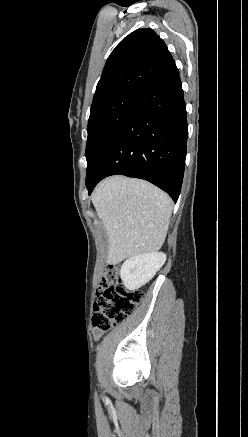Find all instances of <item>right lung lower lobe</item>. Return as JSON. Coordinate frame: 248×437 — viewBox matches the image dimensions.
I'll return each instance as SVG.
<instances>
[{
	"mask_svg": "<svg viewBox=\"0 0 248 437\" xmlns=\"http://www.w3.org/2000/svg\"><path fill=\"white\" fill-rule=\"evenodd\" d=\"M187 115L174 60L135 99L86 176L89 194L103 178L145 179L177 201L184 174Z\"/></svg>",
	"mask_w": 248,
	"mask_h": 437,
	"instance_id": "obj_1",
	"label": "right lung lower lobe"
}]
</instances>
